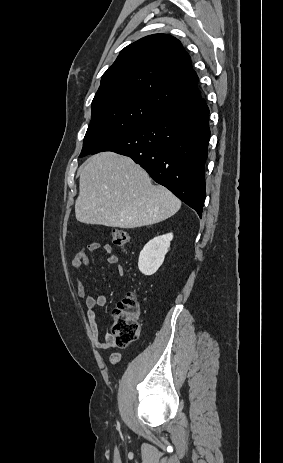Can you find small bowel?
<instances>
[{
    "label": "small bowel",
    "mask_w": 283,
    "mask_h": 463,
    "mask_svg": "<svg viewBox=\"0 0 283 463\" xmlns=\"http://www.w3.org/2000/svg\"><path fill=\"white\" fill-rule=\"evenodd\" d=\"M103 250L107 254V263L115 266L118 275L124 274L123 267L119 264V258L112 252L110 244H100L96 240L87 241L77 254L71 260V266L73 269H80L83 265H89L90 260L88 257V251ZM77 295L85 299L87 306V318L89 322V329L91 338L98 349L106 350L115 347L113 336L109 333L105 334L104 340L99 339L98 321H97V308L102 307L106 303V296L100 294L97 297L87 294L84 284L80 280H76ZM122 360V355L118 352H114L110 356L112 364H117Z\"/></svg>",
    "instance_id": "small-bowel-1"
}]
</instances>
